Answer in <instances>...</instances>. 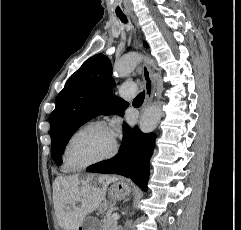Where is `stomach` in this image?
I'll list each match as a JSON object with an SVG mask.
<instances>
[{
  "label": "stomach",
  "instance_id": "stomach-1",
  "mask_svg": "<svg viewBox=\"0 0 241 230\" xmlns=\"http://www.w3.org/2000/svg\"><path fill=\"white\" fill-rule=\"evenodd\" d=\"M80 182H82L80 180ZM131 192V188L129 184L120 179L115 181L108 188V199H104L103 203L98 208V213L103 214L105 211L116 201H120L125 199ZM100 225L92 220L83 221L82 225L78 228V230H100Z\"/></svg>",
  "mask_w": 241,
  "mask_h": 230
}]
</instances>
